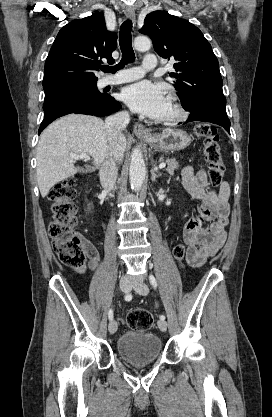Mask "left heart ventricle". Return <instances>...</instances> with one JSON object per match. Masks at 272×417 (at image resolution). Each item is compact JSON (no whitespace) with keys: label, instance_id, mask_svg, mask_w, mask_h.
Here are the masks:
<instances>
[{"label":"left heart ventricle","instance_id":"1","mask_svg":"<svg viewBox=\"0 0 272 417\" xmlns=\"http://www.w3.org/2000/svg\"><path fill=\"white\" fill-rule=\"evenodd\" d=\"M172 112H173V110H172L171 104L168 101L167 107H166V109H165L164 114L162 115V117L169 116V115L172 114Z\"/></svg>","mask_w":272,"mask_h":417}]
</instances>
